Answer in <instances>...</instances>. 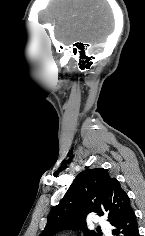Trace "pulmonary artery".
Wrapping results in <instances>:
<instances>
[{
	"label": "pulmonary artery",
	"instance_id": "e3ab8cb5",
	"mask_svg": "<svg viewBox=\"0 0 145 236\" xmlns=\"http://www.w3.org/2000/svg\"><path fill=\"white\" fill-rule=\"evenodd\" d=\"M95 223L100 225L106 234L110 235L111 229L106 225V222L102 217H96Z\"/></svg>",
	"mask_w": 145,
	"mask_h": 236
}]
</instances>
